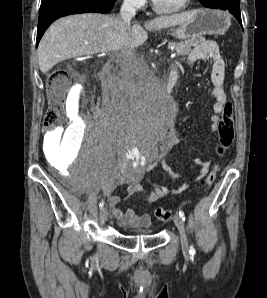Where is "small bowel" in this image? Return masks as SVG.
Returning <instances> with one entry per match:
<instances>
[{"mask_svg":"<svg viewBox=\"0 0 267 298\" xmlns=\"http://www.w3.org/2000/svg\"><path fill=\"white\" fill-rule=\"evenodd\" d=\"M199 61H210L212 63L210 74V94L214 99L213 114L210 117L211 130L217 132L221 121V116L225 109L229 106L225 91L223 89V82L225 76V62L220 54L218 45L212 41H204L197 45L189 54L188 62L193 64ZM65 132L63 130H57L50 140L55 142L63 138ZM194 162L200 166V175L203 177L208 172L209 161L197 158ZM156 163L152 164L148 171L153 169ZM142 175L139 173L133 175H119L113 180L104 184L102 191L107 197L109 204L112 207V215L117 219L118 223L125 228H138L147 229L152 224V217L150 213L143 212L141 214L136 213L133 209L122 210L117 207L122 202V198L113 194V190L116 186L121 184H128L126 188V198L132 196L135 193H140L144 196L147 203L153 204L170 194H179L188 188V184L184 183L177 189H169L165 186L158 184H151L152 191L147 193L140 184Z\"/></svg>","mask_w":267,"mask_h":298,"instance_id":"c3829d8e","label":"small bowel"}]
</instances>
